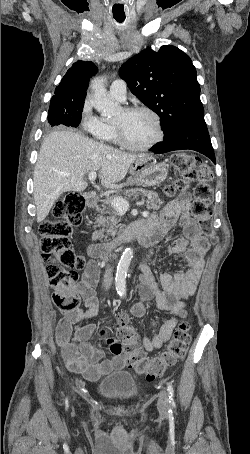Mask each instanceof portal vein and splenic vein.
Here are the masks:
<instances>
[{
	"instance_id": "1",
	"label": "portal vein and splenic vein",
	"mask_w": 250,
	"mask_h": 454,
	"mask_svg": "<svg viewBox=\"0 0 250 454\" xmlns=\"http://www.w3.org/2000/svg\"><path fill=\"white\" fill-rule=\"evenodd\" d=\"M96 172H90L88 175L89 181L93 182L96 179ZM112 207L114 208L115 211H117L119 214L125 213L128 208H129V203L126 199L121 198V197H114L110 201Z\"/></svg>"
}]
</instances>
